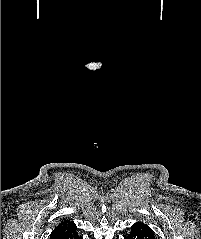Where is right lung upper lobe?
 I'll list each match as a JSON object with an SVG mask.
<instances>
[{"mask_svg":"<svg viewBox=\"0 0 201 239\" xmlns=\"http://www.w3.org/2000/svg\"><path fill=\"white\" fill-rule=\"evenodd\" d=\"M76 226L73 222L63 219L61 223L55 227L50 235V239H76Z\"/></svg>","mask_w":201,"mask_h":239,"instance_id":"obj_1","label":"right lung upper lobe"}]
</instances>
